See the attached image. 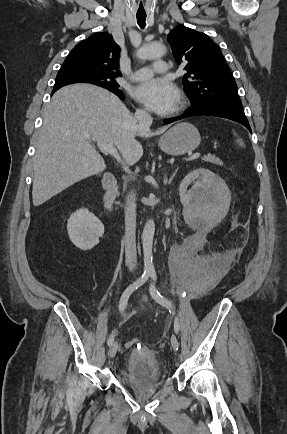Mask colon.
Instances as JSON below:
<instances>
[{"mask_svg":"<svg viewBox=\"0 0 287 434\" xmlns=\"http://www.w3.org/2000/svg\"><path fill=\"white\" fill-rule=\"evenodd\" d=\"M137 343H138V340H137V339L129 340V341L126 343V347H127V348H133V347H135V346L137 345Z\"/></svg>","mask_w":287,"mask_h":434,"instance_id":"5ec220e1","label":"colon"}]
</instances>
